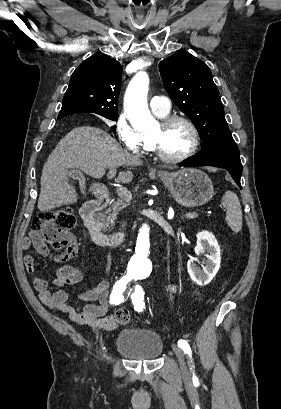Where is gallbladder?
Instances as JSON below:
<instances>
[{"mask_svg":"<svg viewBox=\"0 0 281 409\" xmlns=\"http://www.w3.org/2000/svg\"><path fill=\"white\" fill-rule=\"evenodd\" d=\"M71 176H72V178H76V176H78V174H77V172H73V170H72Z\"/></svg>","mask_w":281,"mask_h":409,"instance_id":"obj_1","label":"gallbladder"}]
</instances>
